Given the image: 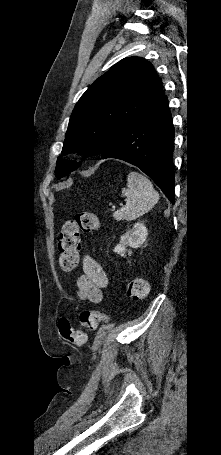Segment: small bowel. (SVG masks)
Here are the masks:
<instances>
[{
  "label": "small bowel",
  "mask_w": 221,
  "mask_h": 455,
  "mask_svg": "<svg viewBox=\"0 0 221 455\" xmlns=\"http://www.w3.org/2000/svg\"><path fill=\"white\" fill-rule=\"evenodd\" d=\"M83 275L77 280V294L80 299L99 303L108 277L100 264L89 254L82 256Z\"/></svg>",
  "instance_id": "c3829d8e"
}]
</instances>
